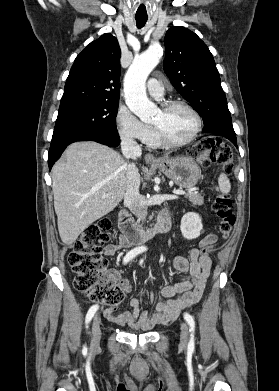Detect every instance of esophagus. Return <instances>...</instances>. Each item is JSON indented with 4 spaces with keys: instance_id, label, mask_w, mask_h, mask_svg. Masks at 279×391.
<instances>
[{
    "instance_id": "1",
    "label": "esophagus",
    "mask_w": 279,
    "mask_h": 391,
    "mask_svg": "<svg viewBox=\"0 0 279 391\" xmlns=\"http://www.w3.org/2000/svg\"><path fill=\"white\" fill-rule=\"evenodd\" d=\"M144 160L147 163L159 162V160L154 155H152L150 153L145 154Z\"/></svg>"
}]
</instances>
